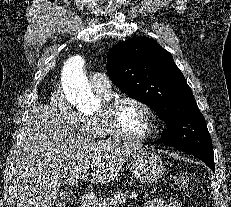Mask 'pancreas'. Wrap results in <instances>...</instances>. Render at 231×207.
Instances as JSON below:
<instances>
[{"mask_svg":"<svg viewBox=\"0 0 231 207\" xmlns=\"http://www.w3.org/2000/svg\"><path fill=\"white\" fill-rule=\"evenodd\" d=\"M138 197V194L135 192H132L129 196L130 199H136ZM128 198L127 193L117 191L112 196L100 199L99 201H96L93 204V207H117L120 204H123L126 202Z\"/></svg>","mask_w":231,"mask_h":207,"instance_id":"1","label":"pancreas"}]
</instances>
